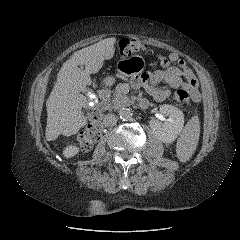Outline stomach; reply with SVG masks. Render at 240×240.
Here are the masks:
<instances>
[{"mask_svg":"<svg viewBox=\"0 0 240 240\" xmlns=\"http://www.w3.org/2000/svg\"><path fill=\"white\" fill-rule=\"evenodd\" d=\"M145 66V59L142 56L131 55L119 60L117 63V71L123 76H132L142 72ZM112 82L113 79L111 77L105 79L106 84H112Z\"/></svg>","mask_w":240,"mask_h":240,"instance_id":"0dacf381","label":"stomach"}]
</instances>
